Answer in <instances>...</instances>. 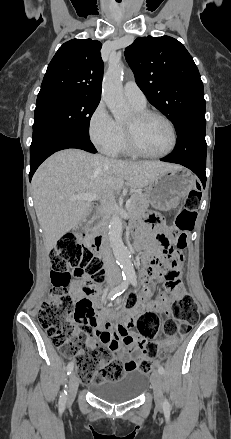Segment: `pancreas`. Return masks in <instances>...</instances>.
<instances>
[{
    "label": "pancreas",
    "mask_w": 231,
    "mask_h": 439,
    "mask_svg": "<svg viewBox=\"0 0 231 439\" xmlns=\"http://www.w3.org/2000/svg\"><path fill=\"white\" fill-rule=\"evenodd\" d=\"M130 200L131 204L128 209L130 216H135L138 214L142 210L143 206L148 202L146 195L140 192H134Z\"/></svg>",
    "instance_id": "pancreas-1"
}]
</instances>
